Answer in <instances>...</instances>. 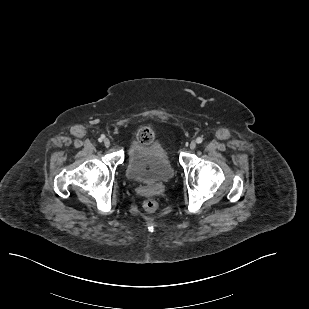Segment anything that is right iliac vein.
<instances>
[{
	"instance_id": "obj_1",
	"label": "right iliac vein",
	"mask_w": 309,
	"mask_h": 309,
	"mask_svg": "<svg viewBox=\"0 0 309 309\" xmlns=\"http://www.w3.org/2000/svg\"><path fill=\"white\" fill-rule=\"evenodd\" d=\"M103 143H104L105 147H109L110 146V140L108 138H105Z\"/></svg>"
}]
</instances>
